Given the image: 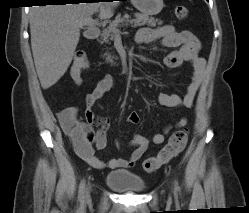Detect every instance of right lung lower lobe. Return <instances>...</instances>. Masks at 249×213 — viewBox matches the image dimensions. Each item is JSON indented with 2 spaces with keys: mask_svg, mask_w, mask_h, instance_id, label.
<instances>
[{
  "mask_svg": "<svg viewBox=\"0 0 249 213\" xmlns=\"http://www.w3.org/2000/svg\"><path fill=\"white\" fill-rule=\"evenodd\" d=\"M45 1L59 5V4H66V3H79L80 0H45Z\"/></svg>",
  "mask_w": 249,
  "mask_h": 213,
  "instance_id": "obj_1",
  "label": "right lung lower lobe"
}]
</instances>
